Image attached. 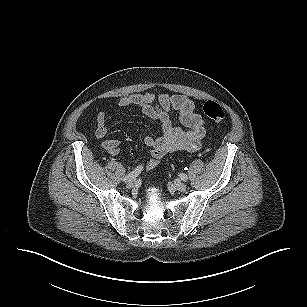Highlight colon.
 Listing matches in <instances>:
<instances>
[{"label": "colon", "instance_id": "colon-1", "mask_svg": "<svg viewBox=\"0 0 307 307\" xmlns=\"http://www.w3.org/2000/svg\"><path fill=\"white\" fill-rule=\"evenodd\" d=\"M204 114L215 122H220L225 118L223 108L214 101H207L203 105Z\"/></svg>", "mask_w": 307, "mask_h": 307}]
</instances>
